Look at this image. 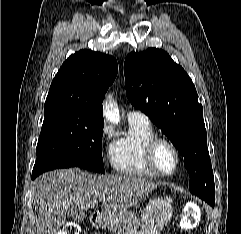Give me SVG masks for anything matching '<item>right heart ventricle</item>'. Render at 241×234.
<instances>
[{"label":"right heart ventricle","instance_id":"obj_1","mask_svg":"<svg viewBox=\"0 0 241 234\" xmlns=\"http://www.w3.org/2000/svg\"><path fill=\"white\" fill-rule=\"evenodd\" d=\"M155 136L157 134L149 122L129 121L126 133L113 143L110 150L114 171L130 176H157L145 159L146 145Z\"/></svg>","mask_w":241,"mask_h":234}]
</instances>
